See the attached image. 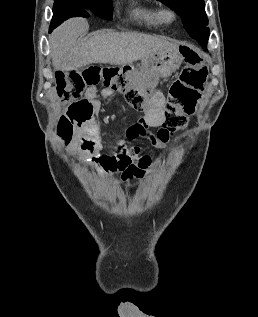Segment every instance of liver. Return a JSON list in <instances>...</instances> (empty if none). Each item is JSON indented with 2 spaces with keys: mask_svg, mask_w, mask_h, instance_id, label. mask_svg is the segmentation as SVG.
<instances>
[{
  "mask_svg": "<svg viewBox=\"0 0 258 317\" xmlns=\"http://www.w3.org/2000/svg\"><path fill=\"white\" fill-rule=\"evenodd\" d=\"M89 30L87 18H69L52 32V64L56 70H78L91 62L128 64L156 50L177 46L167 36H151L143 32H95L87 40H78Z\"/></svg>",
  "mask_w": 258,
  "mask_h": 317,
  "instance_id": "6515ba94",
  "label": "liver"
}]
</instances>
